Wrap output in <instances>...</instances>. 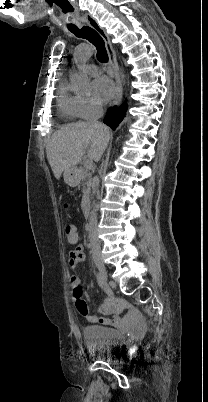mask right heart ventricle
Listing matches in <instances>:
<instances>
[{
    "mask_svg": "<svg viewBox=\"0 0 208 402\" xmlns=\"http://www.w3.org/2000/svg\"><path fill=\"white\" fill-rule=\"evenodd\" d=\"M79 94H72L66 83H61L58 91V109L67 118L70 124H80L82 118L80 115L79 104H78Z\"/></svg>",
    "mask_w": 208,
    "mask_h": 402,
    "instance_id": "1",
    "label": "right heart ventricle"
}]
</instances>
